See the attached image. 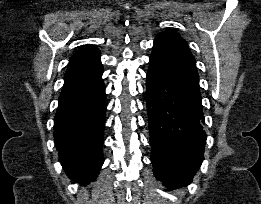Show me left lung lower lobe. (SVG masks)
<instances>
[{"label":"left lung lower lobe","mask_w":261,"mask_h":204,"mask_svg":"<svg viewBox=\"0 0 261 204\" xmlns=\"http://www.w3.org/2000/svg\"><path fill=\"white\" fill-rule=\"evenodd\" d=\"M146 96L154 175L172 188L188 185L201 166L207 135L196 62L176 33L155 37Z\"/></svg>","instance_id":"1"}]
</instances>
